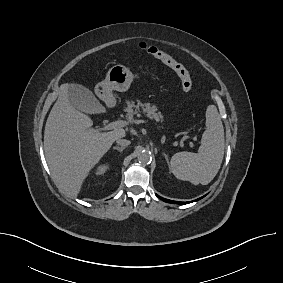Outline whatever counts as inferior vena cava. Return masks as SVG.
<instances>
[{
	"instance_id": "obj_1",
	"label": "inferior vena cava",
	"mask_w": 283,
	"mask_h": 283,
	"mask_svg": "<svg viewBox=\"0 0 283 283\" xmlns=\"http://www.w3.org/2000/svg\"><path fill=\"white\" fill-rule=\"evenodd\" d=\"M116 143L118 145H121V146H124V147L130 145V141L129 140L120 139V138L116 139Z\"/></svg>"
}]
</instances>
